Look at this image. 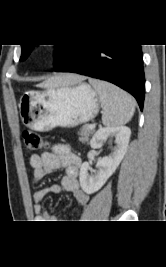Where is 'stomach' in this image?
<instances>
[{"label":"stomach","instance_id":"0dacf381","mask_svg":"<svg viewBox=\"0 0 166 267\" xmlns=\"http://www.w3.org/2000/svg\"><path fill=\"white\" fill-rule=\"evenodd\" d=\"M20 116L25 126L40 132L55 127H75L96 117L99 98L87 83L29 91L20 99Z\"/></svg>","mask_w":166,"mask_h":267}]
</instances>
